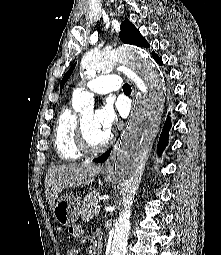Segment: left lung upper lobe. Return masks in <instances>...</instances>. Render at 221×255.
<instances>
[{"label":"left lung upper lobe","mask_w":221,"mask_h":255,"mask_svg":"<svg viewBox=\"0 0 221 255\" xmlns=\"http://www.w3.org/2000/svg\"><path fill=\"white\" fill-rule=\"evenodd\" d=\"M120 29L121 31L119 33V37L123 43L133 44L141 47H149V44L147 43L145 38L142 37L138 29H136V27L129 20H124L120 25ZM75 65L76 63L67 71V73L62 78V81L60 83V92L63 86L65 85L66 81L72 74Z\"/></svg>","instance_id":"1"}]
</instances>
